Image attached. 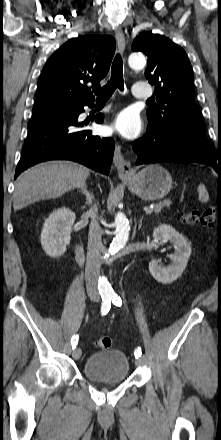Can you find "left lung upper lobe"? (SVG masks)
Masks as SVG:
<instances>
[{
	"mask_svg": "<svg viewBox=\"0 0 221 440\" xmlns=\"http://www.w3.org/2000/svg\"><path fill=\"white\" fill-rule=\"evenodd\" d=\"M132 51L148 57L145 77L154 85L158 103L147 109L149 125L162 129L181 122L206 129L194 100L193 71L186 52L169 38L149 31L135 38Z\"/></svg>",
	"mask_w": 221,
	"mask_h": 440,
	"instance_id": "left-lung-upper-lobe-1",
	"label": "left lung upper lobe"
}]
</instances>
